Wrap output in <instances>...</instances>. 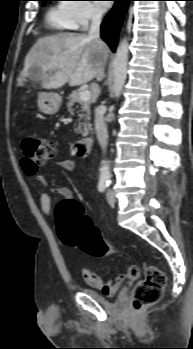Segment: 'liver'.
<instances>
[{
	"mask_svg": "<svg viewBox=\"0 0 193 349\" xmlns=\"http://www.w3.org/2000/svg\"><path fill=\"white\" fill-rule=\"evenodd\" d=\"M108 46L83 33H59L36 41L25 58L18 83L30 77V69H40L41 86L57 89L69 83L77 86L104 77Z\"/></svg>",
	"mask_w": 193,
	"mask_h": 349,
	"instance_id": "obj_1",
	"label": "liver"
}]
</instances>
